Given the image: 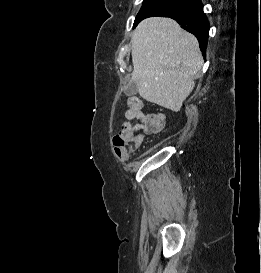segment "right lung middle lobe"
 <instances>
[{
	"instance_id": "obj_1",
	"label": "right lung middle lobe",
	"mask_w": 261,
	"mask_h": 273,
	"mask_svg": "<svg viewBox=\"0 0 261 273\" xmlns=\"http://www.w3.org/2000/svg\"><path fill=\"white\" fill-rule=\"evenodd\" d=\"M170 9L167 5V0H144L143 5L136 16L134 27L144 18L158 15Z\"/></svg>"
}]
</instances>
